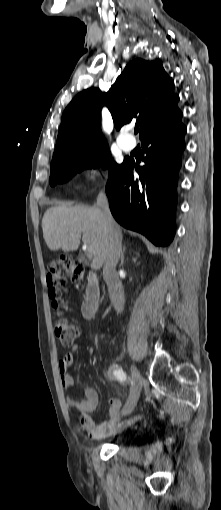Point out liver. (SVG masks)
<instances>
[{
  "label": "liver",
  "instance_id": "liver-1",
  "mask_svg": "<svg viewBox=\"0 0 221 510\" xmlns=\"http://www.w3.org/2000/svg\"><path fill=\"white\" fill-rule=\"evenodd\" d=\"M121 235V228L116 224ZM43 237L51 251H76L80 240L93 249V270L104 264L108 232L99 207L58 205L47 209L42 219Z\"/></svg>",
  "mask_w": 221,
  "mask_h": 510
}]
</instances>
